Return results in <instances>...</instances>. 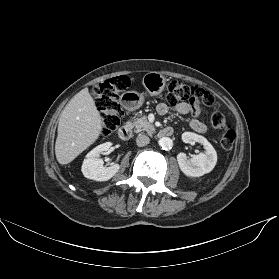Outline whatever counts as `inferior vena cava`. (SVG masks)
<instances>
[{
  "mask_svg": "<svg viewBox=\"0 0 279 279\" xmlns=\"http://www.w3.org/2000/svg\"><path fill=\"white\" fill-rule=\"evenodd\" d=\"M149 141H150L149 137L144 134H139L136 137V144L139 147L147 145L149 143Z\"/></svg>",
  "mask_w": 279,
  "mask_h": 279,
  "instance_id": "1",
  "label": "inferior vena cava"
}]
</instances>
